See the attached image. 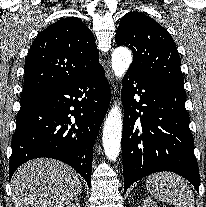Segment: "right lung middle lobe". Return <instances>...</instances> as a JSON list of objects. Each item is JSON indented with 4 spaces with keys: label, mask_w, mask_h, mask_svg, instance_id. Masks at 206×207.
<instances>
[{
    "label": "right lung middle lobe",
    "mask_w": 206,
    "mask_h": 207,
    "mask_svg": "<svg viewBox=\"0 0 206 207\" xmlns=\"http://www.w3.org/2000/svg\"><path fill=\"white\" fill-rule=\"evenodd\" d=\"M26 102H27V100H25L24 98H21V99H20V103H21V104H24V103H26Z\"/></svg>",
    "instance_id": "obj_1"
}]
</instances>
